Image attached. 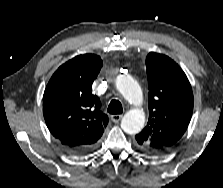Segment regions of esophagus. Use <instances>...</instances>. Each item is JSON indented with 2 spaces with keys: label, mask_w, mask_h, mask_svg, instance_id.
I'll return each instance as SVG.
<instances>
[{
  "label": "esophagus",
  "mask_w": 223,
  "mask_h": 188,
  "mask_svg": "<svg viewBox=\"0 0 223 188\" xmlns=\"http://www.w3.org/2000/svg\"><path fill=\"white\" fill-rule=\"evenodd\" d=\"M123 115L122 114H116L111 116V120L115 123L119 122L122 119Z\"/></svg>",
  "instance_id": "1"
}]
</instances>
